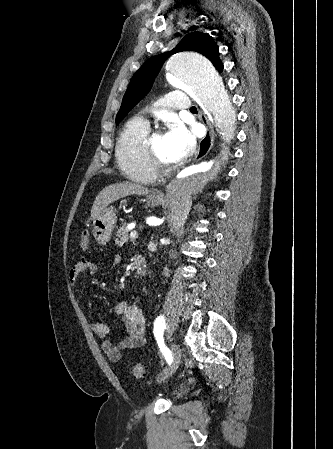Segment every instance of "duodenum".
Instances as JSON below:
<instances>
[{
    "instance_id": "410a0bca",
    "label": "duodenum",
    "mask_w": 333,
    "mask_h": 449,
    "mask_svg": "<svg viewBox=\"0 0 333 449\" xmlns=\"http://www.w3.org/2000/svg\"><path fill=\"white\" fill-rule=\"evenodd\" d=\"M133 267L136 274L144 275L147 268L146 259L142 255H136L133 259Z\"/></svg>"
}]
</instances>
